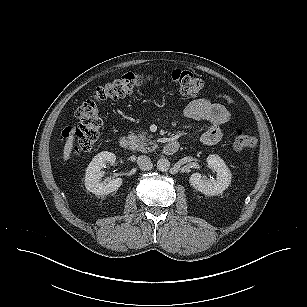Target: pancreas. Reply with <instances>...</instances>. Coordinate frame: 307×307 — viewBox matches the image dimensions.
<instances>
[{"label": "pancreas", "mask_w": 307, "mask_h": 307, "mask_svg": "<svg viewBox=\"0 0 307 307\" xmlns=\"http://www.w3.org/2000/svg\"><path fill=\"white\" fill-rule=\"evenodd\" d=\"M130 137L135 140V149L142 153L152 152L158 147L155 141L151 140V136H146V132L138 134V136L131 134Z\"/></svg>", "instance_id": "1"}]
</instances>
